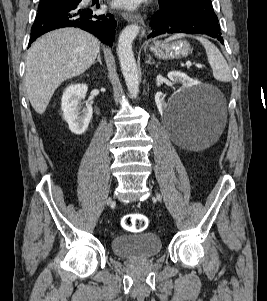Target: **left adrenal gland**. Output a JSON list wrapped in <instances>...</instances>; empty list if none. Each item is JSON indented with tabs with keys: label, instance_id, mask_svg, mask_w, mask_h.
<instances>
[{
	"label": "left adrenal gland",
	"instance_id": "a2214340",
	"mask_svg": "<svg viewBox=\"0 0 267 301\" xmlns=\"http://www.w3.org/2000/svg\"><path fill=\"white\" fill-rule=\"evenodd\" d=\"M147 64H154V62H151V56L149 55L148 61H146Z\"/></svg>",
	"mask_w": 267,
	"mask_h": 301
}]
</instances>
